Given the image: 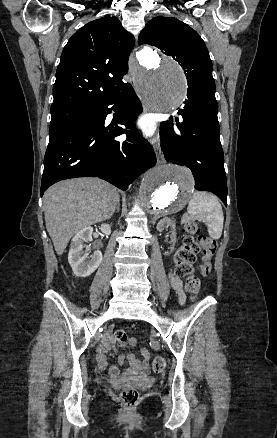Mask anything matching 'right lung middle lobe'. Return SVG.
<instances>
[{"instance_id":"right-lung-middle-lobe-1","label":"right lung middle lobe","mask_w":277,"mask_h":438,"mask_svg":"<svg viewBox=\"0 0 277 438\" xmlns=\"http://www.w3.org/2000/svg\"><path fill=\"white\" fill-rule=\"evenodd\" d=\"M91 111L90 108H82V109H74V110H66V111H57L51 112V122H50V130L49 134L54 133L55 131L61 129L66 126L73 120L80 118Z\"/></svg>"}]
</instances>
